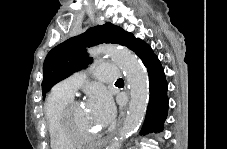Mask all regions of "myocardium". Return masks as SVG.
<instances>
[{
  "label": "myocardium",
  "mask_w": 227,
  "mask_h": 149,
  "mask_svg": "<svg viewBox=\"0 0 227 149\" xmlns=\"http://www.w3.org/2000/svg\"><path fill=\"white\" fill-rule=\"evenodd\" d=\"M81 106L80 101L71 100L63 109L61 113V124L64 134L74 143L78 145L89 144L95 141L98 138V133L93 135H83L77 133L73 129V113L74 111Z\"/></svg>",
  "instance_id": "f54148a6"
}]
</instances>
